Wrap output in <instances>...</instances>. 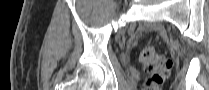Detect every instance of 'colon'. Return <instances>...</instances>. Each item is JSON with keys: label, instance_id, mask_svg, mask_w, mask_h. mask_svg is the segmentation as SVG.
I'll return each mask as SVG.
<instances>
[{"label": "colon", "instance_id": "obj_1", "mask_svg": "<svg viewBox=\"0 0 209 90\" xmlns=\"http://www.w3.org/2000/svg\"><path fill=\"white\" fill-rule=\"evenodd\" d=\"M139 59L144 71L149 76L147 83L155 86L161 85L169 74L172 62L159 54L152 46L144 47L140 52Z\"/></svg>", "mask_w": 209, "mask_h": 90}]
</instances>
